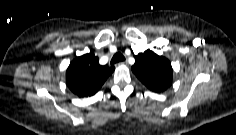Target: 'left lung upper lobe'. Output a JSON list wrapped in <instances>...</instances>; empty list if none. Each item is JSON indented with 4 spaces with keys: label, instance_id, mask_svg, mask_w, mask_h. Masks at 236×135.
<instances>
[{
    "label": "left lung upper lobe",
    "instance_id": "obj_1",
    "mask_svg": "<svg viewBox=\"0 0 236 135\" xmlns=\"http://www.w3.org/2000/svg\"><path fill=\"white\" fill-rule=\"evenodd\" d=\"M132 71L147 88L154 92H163L172 84L171 63L151 50L135 55Z\"/></svg>",
    "mask_w": 236,
    "mask_h": 135
}]
</instances>
